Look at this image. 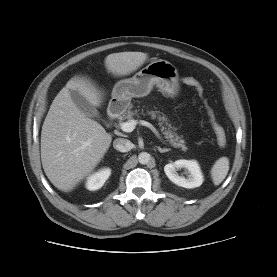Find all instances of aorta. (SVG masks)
Wrapping results in <instances>:
<instances>
[{
  "label": "aorta",
  "mask_w": 277,
  "mask_h": 277,
  "mask_svg": "<svg viewBox=\"0 0 277 277\" xmlns=\"http://www.w3.org/2000/svg\"><path fill=\"white\" fill-rule=\"evenodd\" d=\"M150 158H151V156L147 152H141L138 155V161L140 164H147L150 161Z\"/></svg>",
  "instance_id": "762f6f07"
}]
</instances>
